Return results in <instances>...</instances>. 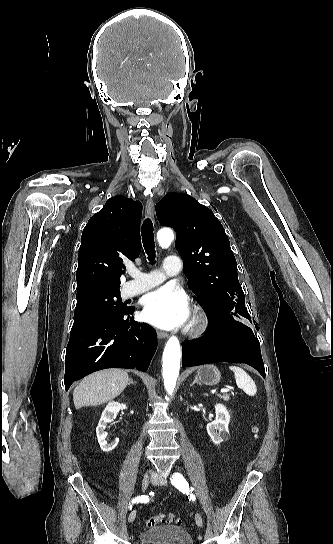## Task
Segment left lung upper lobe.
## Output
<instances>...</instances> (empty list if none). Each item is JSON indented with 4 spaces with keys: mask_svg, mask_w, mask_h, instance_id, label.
<instances>
[{
    "mask_svg": "<svg viewBox=\"0 0 333 544\" xmlns=\"http://www.w3.org/2000/svg\"><path fill=\"white\" fill-rule=\"evenodd\" d=\"M156 213L162 225L177 232L175 247L185 262L188 286L212 322H251L229 239L212 210L187 194L170 193L156 204Z\"/></svg>",
    "mask_w": 333,
    "mask_h": 544,
    "instance_id": "5c2ea615",
    "label": "left lung upper lobe"
}]
</instances>
